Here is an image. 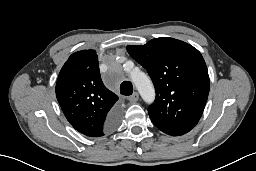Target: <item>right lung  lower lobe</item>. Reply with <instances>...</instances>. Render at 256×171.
<instances>
[{
    "label": "right lung lower lobe",
    "mask_w": 256,
    "mask_h": 171,
    "mask_svg": "<svg viewBox=\"0 0 256 171\" xmlns=\"http://www.w3.org/2000/svg\"><path fill=\"white\" fill-rule=\"evenodd\" d=\"M120 120V110L115 108L107 118L106 128L110 131L113 130L119 123Z\"/></svg>",
    "instance_id": "98d812e1"
}]
</instances>
